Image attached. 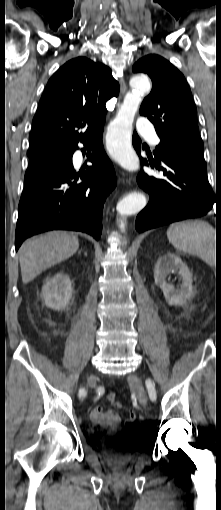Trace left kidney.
Masks as SVG:
<instances>
[{
	"instance_id": "5707ae66",
	"label": "left kidney",
	"mask_w": 221,
	"mask_h": 510,
	"mask_svg": "<svg viewBox=\"0 0 221 510\" xmlns=\"http://www.w3.org/2000/svg\"><path fill=\"white\" fill-rule=\"evenodd\" d=\"M172 270H178V274L182 278V284L177 289L166 281L167 275ZM154 280L155 284L162 289L166 302L169 305H183L193 295L192 274L180 257L174 253L168 252L157 260Z\"/></svg>"
}]
</instances>
